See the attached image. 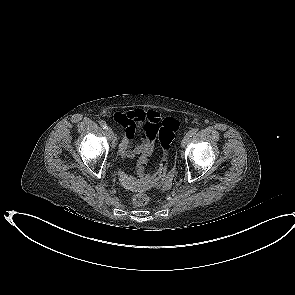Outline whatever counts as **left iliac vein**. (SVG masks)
I'll return each mask as SVG.
<instances>
[{
    "label": "left iliac vein",
    "instance_id": "left-iliac-vein-1",
    "mask_svg": "<svg viewBox=\"0 0 295 295\" xmlns=\"http://www.w3.org/2000/svg\"><path fill=\"white\" fill-rule=\"evenodd\" d=\"M189 141H190V135L186 134L181 141V146L185 147L189 143Z\"/></svg>",
    "mask_w": 295,
    "mask_h": 295
}]
</instances>
